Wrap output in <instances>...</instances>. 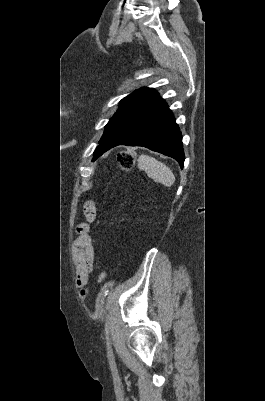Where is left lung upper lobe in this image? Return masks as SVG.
<instances>
[{"label":"left lung upper lobe","instance_id":"left-lung-upper-lobe-1","mask_svg":"<svg viewBox=\"0 0 265 401\" xmlns=\"http://www.w3.org/2000/svg\"><path fill=\"white\" fill-rule=\"evenodd\" d=\"M158 97L159 94L153 89L142 88L122 99L119 109L105 126L104 134L99 143L113 133L129 117L139 112Z\"/></svg>","mask_w":265,"mask_h":401}]
</instances>
